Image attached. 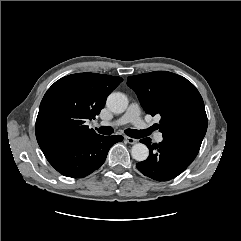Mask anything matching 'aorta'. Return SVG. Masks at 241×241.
I'll return each mask as SVG.
<instances>
[{
	"mask_svg": "<svg viewBox=\"0 0 241 241\" xmlns=\"http://www.w3.org/2000/svg\"><path fill=\"white\" fill-rule=\"evenodd\" d=\"M108 108L115 113H122L127 109L128 99L120 92L111 93L107 98ZM131 155L136 161H144L149 155V149L145 144L137 143L131 148Z\"/></svg>",
	"mask_w": 241,
	"mask_h": 241,
	"instance_id": "762f6f07",
	"label": "aorta"
}]
</instances>
